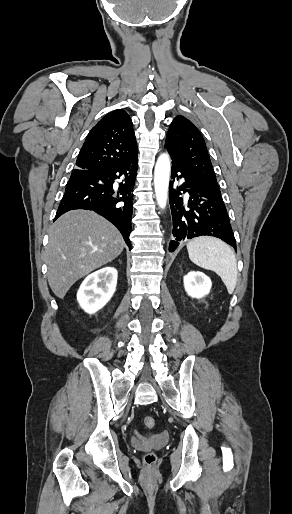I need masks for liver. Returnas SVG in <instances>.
I'll return each instance as SVG.
<instances>
[{"label": "liver", "instance_id": "liver-1", "mask_svg": "<svg viewBox=\"0 0 292 514\" xmlns=\"http://www.w3.org/2000/svg\"><path fill=\"white\" fill-rule=\"evenodd\" d=\"M124 240L108 220L89 210H71L49 230L46 246L48 284L57 298L96 268L115 260Z\"/></svg>", "mask_w": 292, "mask_h": 514}]
</instances>
